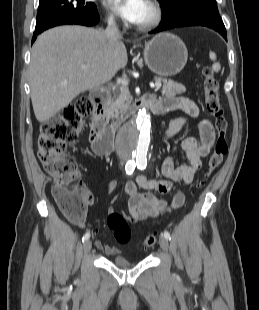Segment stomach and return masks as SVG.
I'll return each mask as SVG.
<instances>
[{
	"mask_svg": "<svg viewBox=\"0 0 259 310\" xmlns=\"http://www.w3.org/2000/svg\"><path fill=\"white\" fill-rule=\"evenodd\" d=\"M144 60L159 75L174 76L186 65L188 52L183 41L171 33H161L145 44Z\"/></svg>",
	"mask_w": 259,
	"mask_h": 310,
	"instance_id": "obj_1",
	"label": "stomach"
}]
</instances>
